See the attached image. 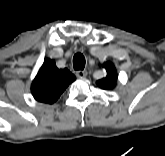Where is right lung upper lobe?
I'll use <instances>...</instances> for the list:
<instances>
[{"mask_svg": "<svg viewBox=\"0 0 165 156\" xmlns=\"http://www.w3.org/2000/svg\"><path fill=\"white\" fill-rule=\"evenodd\" d=\"M75 79L68 69H58L54 60L46 59L31 85V92L37 101L52 104Z\"/></svg>", "mask_w": 165, "mask_h": 156, "instance_id": "cb5924a9", "label": "right lung upper lobe"}]
</instances>
